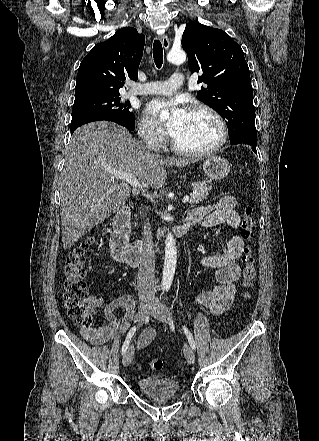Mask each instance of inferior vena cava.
I'll return each mask as SVG.
<instances>
[{"mask_svg":"<svg viewBox=\"0 0 319 441\" xmlns=\"http://www.w3.org/2000/svg\"><path fill=\"white\" fill-rule=\"evenodd\" d=\"M141 214L143 219H145L142 232L145 248L138 272V293L140 297H154L156 292L154 285L155 253L152 241V231L146 213L142 211Z\"/></svg>","mask_w":319,"mask_h":441,"instance_id":"1","label":"inferior vena cava"}]
</instances>
